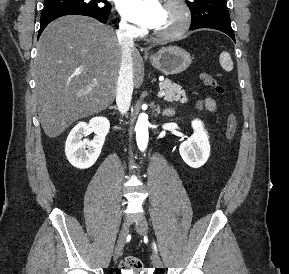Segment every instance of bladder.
<instances>
[{
    "instance_id": "obj_1",
    "label": "bladder",
    "mask_w": 289,
    "mask_h": 274,
    "mask_svg": "<svg viewBox=\"0 0 289 274\" xmlns=\"http://www.w3.org/2000/svg\"><path fill=\"white\" fill-rule=\"evenodd\" d=\"M121 274H141L139 271H124Z\"/></svg>"
}]
</instances>
